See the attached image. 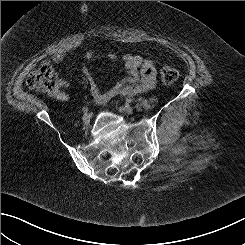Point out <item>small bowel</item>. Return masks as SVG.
<instances>
[{"label": "small bowel", "instance_id": "small-bowel-1", "mask_svg": "<svg viewBox=\"0 0 245 245\" xmlns=\"http://www.w3.org/2000/svg\"><path fill=\"white\" fill-rule=\"evenodd\" d=\"M84 57L89 60L93 57V54L86 52ZM64 58V53H57L54 55L53 61L59 63ZM109 59L114 62L117 60V56L110 54ZM122 62L127 71V76L106 91H100L90 71L86 67L82 68L91 96L97 104L104 105L115 96H136L148 93L155 87L157 71L152 60L136 54H125L122 57ZM43 64H49V62L44 61ZM60 84L61 86L67 85L65 81ZM58 98L64 100L66 95L60 93Z\"/></svg>", "mask_w": 245, "mask_h": 245}]
</instances>
